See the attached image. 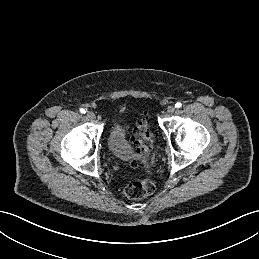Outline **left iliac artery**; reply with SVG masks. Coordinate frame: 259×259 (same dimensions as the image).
Instances as JSON below:
<instances>
[{"mask_svg": "<svg viewBox=\"0 0 259 259\" xmlns=\"http://www.w3.org/2000/svg\"><path fill=\"white\" fill-rule=\"evenodd\" d=\"M182 106V104L180 103V102H177L176 104H175V107L176 108H180Z\"/></svg>", "mask_w": 259, "mask_h": 259, "instance_id": "44dca946", "label": "left iliac artery"}]
</instances>
